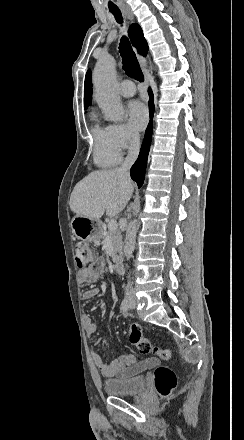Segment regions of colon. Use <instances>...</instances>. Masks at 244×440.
<instances>
[{"mask_svg": "<svg viewBox=\"0 0 244 440\" xmlns=\"http://www.w3.org/2000/svg\"><path fill=\"white\" fill-rule=\"evenodd\" d=\"M98 258V253L95 249H89L84 241H79L75 245V263L78 270L82 271L87 267L88 263L95 262ZM129 341L135 344L142 354L153 353L158 355L163 360H170L172 352L169 348L159 349L151 340L146 338L142 329L137 324L131 325ZM154 382L157 393L160 397H168L177 384L176 375L168 368L159 367L154 375Z\"/></svg>", "mask_w": 244, "mask_h": 440, "instance_id": "colon-1", "label": "colon"}]
</instances>
